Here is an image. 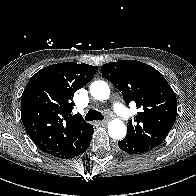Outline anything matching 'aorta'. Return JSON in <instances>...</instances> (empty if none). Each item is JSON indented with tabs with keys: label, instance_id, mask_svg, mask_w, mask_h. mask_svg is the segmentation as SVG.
<instances>
[{
	"label": "aorta",
	"instance_id": "762f6f07",
	"mask_svg": "<svg viewBox=\"0 0 196 196\" xmlns=\"http://www.w3.org/2000/svg\"><path fill=\"white\" fill-rule=\"evenodd\" d=\"M90 94L97 100H107L110 89L105 81H95L90 85ZM108 133L111 138L121 140L126 135V126L120 119H114L108 124Z\"/></svg>",
	"mask_w": 196,
	"mask_h": 196
}]
</instances>
